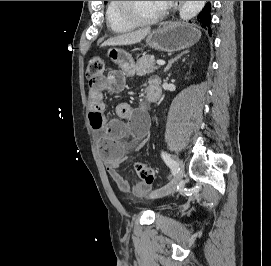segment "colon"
I'll return each instance as SVG.
<instances>
[{
  "label": "colon",
  "instance_id": "1",
  "mask_svg": "<svg viewBox=\"0 0 271 266\" xmlns=\"http://www.w3.org/2000/svg\"><path fill=\"white\" fill-rule=\"evenodd\" d=\"M104 61L100 57H92L87 66L86 76L88 78H94L102 75L104 72ZM135 172L138 178L145 184H152L155 180V172L147 164L143 162H137L134 166Z\"/></svg>",
  "mask_w": 271,
  "mask_h": 266
}]
</instances>
